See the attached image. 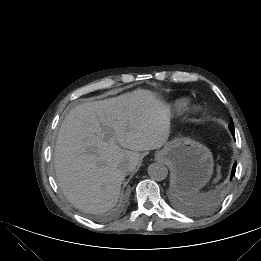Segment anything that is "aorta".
Wrapping results in <instances>:
<instances>
[{
    "mask_svg": "<svg viewBox=\"0 0 261 261\" xmlns=\"http://www.w3.org/2000/svg\"><path fill=\"white\" fill-rule=\"evenodd\" d=\"M150 178L156 181L164 180L168 175V169L161 163H152L148 167Z\"/></svg>",
    "mask_w": 261,
    "mask_h": 261,
    "instance_id": "obj_1",
    "label": "aorta"
}]
</instances>
